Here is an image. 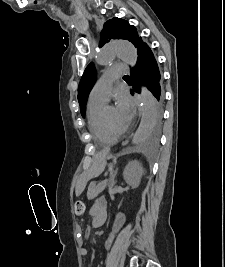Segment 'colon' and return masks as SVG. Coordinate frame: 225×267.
<instances>
[{
	"mask_svg": "<svg viewBox=\"0 0 225 267\" xmlns=\"http://www.w3.org/2000/svg\"><path fill=\"white\" fill-rule=\"evenodd\" d=\"M85 206L82 201H76L74 204V212L76 215L80 216L84 213Z\"/></svg>",
	"mask_w": 225,
	"mask_h": 267,
	"instance_id": "1",
	"label": "colon"
}]
</instances>
